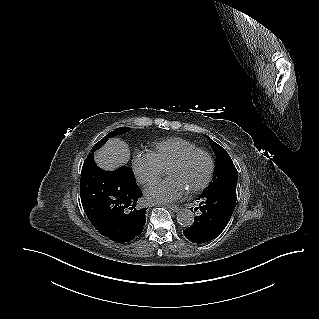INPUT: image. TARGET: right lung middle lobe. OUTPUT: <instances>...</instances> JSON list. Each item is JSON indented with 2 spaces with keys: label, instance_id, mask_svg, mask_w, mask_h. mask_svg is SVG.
Masks as SVG:
<instances>
[{
  "label": "right lung middle lobe",
  "instance_id": "obj_1",
  "mask_svg": "<svg viewBox=\"0 0 319 319\" xmlns=\"http://www.w3.org/2000/svg\"><path fill=\"white\" fill-rule=\"evenodd\" d=\"M130 131L129 127H121V128H117L114 131H111L110 133H108L102 140H100L99 142H97L93 148H92V152H94L95 150H98L99 148L102 147V145L109 139L112 138L116 135H122L126 132Z\"/></svg>",
  "mask_w": 319,
  "mask_h": 319
}]
</instances>
